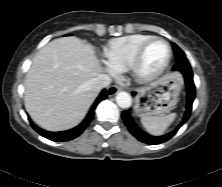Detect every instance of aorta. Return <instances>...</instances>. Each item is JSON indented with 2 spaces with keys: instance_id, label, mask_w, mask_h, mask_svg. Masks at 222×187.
I'll return each mask as SVG.
<instances>
[{
  "instance_id": "762f6f07",
  "label": "aorta",
  "mask_w": 222,
  "mask_h": 187,
  "mask_svg": "<svg viewBox=\"0 0 222 187\" xmlns=\"http://www.w3.org/2000/svg\"><path fill=\"white\" fill-rule=\"evenodd\" d=\"M116 102L121 108H129L132 103V99L129 93L119 92L116 95Z\"/></svg>"
}]
</instances>
